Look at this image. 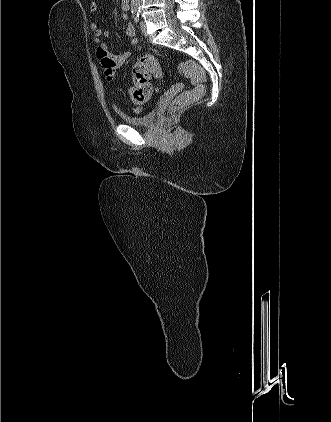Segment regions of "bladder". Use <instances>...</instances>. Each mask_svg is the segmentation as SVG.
Wrapping results in <instances>:
<instances>
[{
	"instance_id": "obj_1",
	"label": "bladder",
	"mask_w": 331,
	"mask_h": 422,
	"mask_svg": "<svg viewBox=\"0 0 331 422\" xmlns=\"http://www.w3.org/2000/svg\"><path fill=\"white\" fill-rule=\"evenodd\" d=\"M119 117L126 124L138 127H152L157 119V111L151 110L140 116H133L126 113H119Z\"/></svg>"
}]
</instances>
